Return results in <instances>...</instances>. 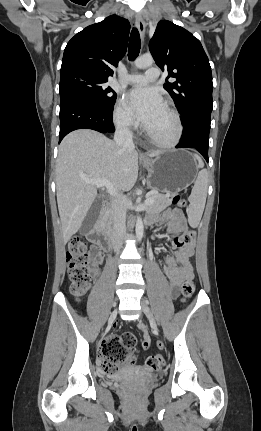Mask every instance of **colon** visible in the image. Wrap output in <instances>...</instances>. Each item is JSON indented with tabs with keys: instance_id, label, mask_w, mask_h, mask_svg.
Returning <instances> with one entry per match:
<instances>
[{
	"instance_id": "5ec220e1",
	"label": "colon",
	"mask_w": 261,
	"mask_h": 431,
	"mask_svg": "<svg viewBox=\"0 0 261 431\" xmlns=\"http://www.w3.org/2000/svg\"><path fill=\"white\" fill-rule=\"evenodd\" d=\"M174 204L178 207L185 206V200L176 196ZM191 242V235L183 233L176 239L179 247H186ZM68 264V276L70 281V293L76 298H82L90 286V259L88 256V244L79 236L70 239L66 252ZM195 291V283L192 278H188L182 285L181 292L184 299L192 296ZM135 337L131 333H124L120 336L110 335L105 339L99 349V355L102 360V366L106 373L114 374L124 364L135 362L133 348L135 346ZM159 348L163 352L164 343H159ZM167 360L164 357L149 356L146 360V371L152 373L159 372L161 366H164Z\"/></svg>"
}]
</instances>
